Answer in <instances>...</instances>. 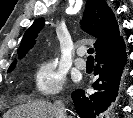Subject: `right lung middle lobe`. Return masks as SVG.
I'll return each mask as SVG.
<instances>
[{
	"label": "right lung middle lobe",
	"instance_id": "1",
	"mask_svg": "<svg viewBox=\"0 0 133 118\" xmlns=\"http://www.w3.org/2000/svg\"><path fill=\"white\" fill-rule=\"evenodd\" d=\"M14 67H15V65L12 66V67H10V68L8 69V72H11V71L14 69Z\"/></svg>",
	"mask_w": 133,
	"mask_h": 118
}]
</instances>
